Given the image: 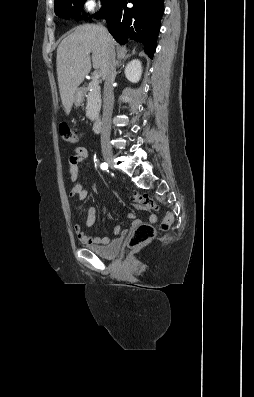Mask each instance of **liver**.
Masks as SVG:
<instances>
[{"label": "liver", "mask_w": 254, "mask_h": 397, "mask_svg": "<svg viewBox=\"0 0 254 397\" xmlns=\"http://www.w3.org/2000/svg\"><path fill=\"white\" fill-rule=\"evenodd\" d=\"M103 30L100 25L78 26L57 48L58 85L67 115L71 112L75 91L91 70L90 54L93 67L105 76L109 47L114 48L115 41L109 34L107 41Z\"/></svg>", "instance_id": "6515ba94"}]
</instances>
